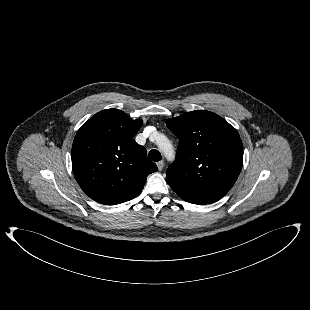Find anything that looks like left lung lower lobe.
Segmentation results:
<instances>
[{
    "instance_id": "left-lung-lower-lobe-1",
    "label": "left lung lower lobe",
    "mask_w": 310,
    "mask_h": 310,
    "mask_svg": "<svg viewBox=\"0 0 310 310\" xmlns=\"http://www.w3.org/2000/svg\"><path fill=\"white\" fill-rule=\"evenodd\" d=\"M188 202H190V201H188ZM190 203H194V204H203V203H196V202H190Z\"/></svg>"
}]
</instances>
